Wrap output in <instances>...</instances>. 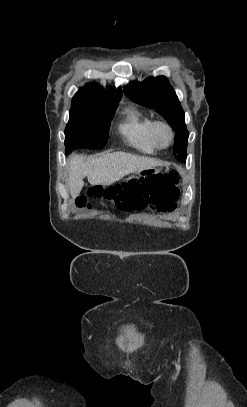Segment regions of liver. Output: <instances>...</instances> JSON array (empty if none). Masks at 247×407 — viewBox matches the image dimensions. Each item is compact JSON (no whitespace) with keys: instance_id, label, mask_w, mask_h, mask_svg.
Masks as SVG:
<instances>
[{"instance_id":"6515ba94","label":"liver","mask_w":247,"mask_h":407,"mask_svg":"<svg viewBox=\"0 0 247 407\" xmlns=\"http://www.w3.org/2000/svg\"><path fill=\"white\" fill-rule=\"evenodd\" d=\"M163 163L149 157H139L124 152L84 159L81 155H73L69 159V187L73 198L77 197L84 185L83 178L87 176L91 185L108 186L124 176L161 166Z\"/></svg>"}]
</instances>
